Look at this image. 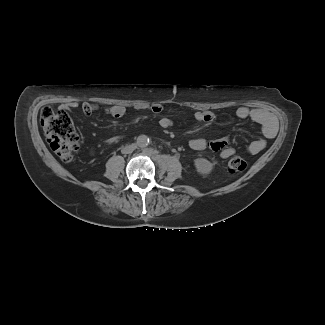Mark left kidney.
<instances>
[{
  "label": "left kidney",
  "mask_w": 325,
  "mask_h": 325,
  "mask_svg": "<svg viewBox=\"0 0 325 325\" xmlns=\"http://www.w3.org/2000/svg\"><path fill=\"white\" fill-rule=\"evenodd\" d=\"M197 172L203 176L210 174L213 170V164L205 158H197L194 160Z\"/></svg>",
  "instance_id": "5707ae66"
}]
</instances>
